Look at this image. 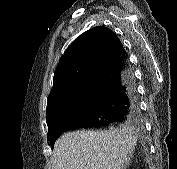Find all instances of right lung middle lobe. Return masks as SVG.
Segmentation results:
<instances>
[{
  "label": "right lung middle lobe",
  "mask_w": 177,
  "mask_h": 169,
  "mask_svg": "<svg viewBox=\"0 0 177 169\" xmlns=\"http://www.w3.org/2000/svg\"><path fill=\"white\" fill-rule=\"evenodd\" d=\"M93 92L91 81L80 85L63 100L47 106L46 122L50 140L56 128L66 119L82 111L89 103ZM53 147V146H51Z\"/></svg>",
  "instance_id": "1"
}]
</instances>
